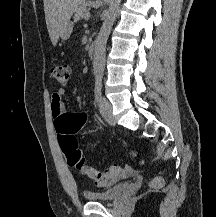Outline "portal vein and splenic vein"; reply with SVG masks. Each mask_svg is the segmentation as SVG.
I'll return each mask as SVG.
<instances>
[{
    "label": "portal vein and splenic vein",
    "mask_w": 216,
    "mask_h": 217,
    "mask_svg": "<svg viewBox=\"0 0 216 217\" xmlns=\"http://www.w3.org/2000/svg\"><path fill=\"white\" fill-rule=\"evenodd\" d=\"M89 17H90V12L87 11L86 14H85V18H86V19H89Z\"/></svg>",
    "instance_id": "18ae733b"
}]
</instances>
